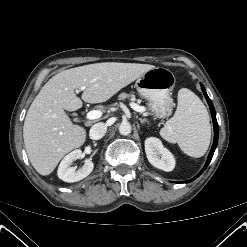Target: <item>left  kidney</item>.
Listing matches in <instances>:
<instances>
[{"instance_id": "1", "label": "left kidney", "mask_w": 247, "mask_h": 247, "mask_svg": "<svg viewBox=\"0 0 247 247\" xmlns=\"http://www.w3.org/2000/svg\"><path fill=\"white\" fill-rule=\"evenodd\" d=\"M145 152L148 161L156 168L166 172L175 167V158L172 153L163 146L160 139L149 137L145 140Z\"/></svg>"}]
</instances>
